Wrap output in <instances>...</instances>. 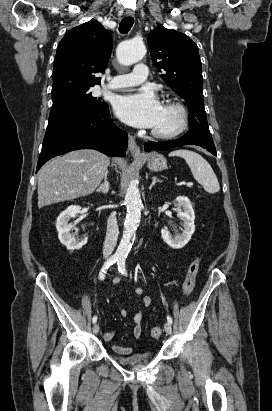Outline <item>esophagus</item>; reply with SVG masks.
<instances>
[{"mask_svg":"<svg viewBox=\"0 0 272 411\" xmlns=\"http://www.w3.org/2000/svg\"><path fill=\"white\" fill-rule=\"evenodd\" d=\"M125 14H126V16H133L134 15V10L127 9ZM128 148H129V151L131 152V154L134 157L142 156L141 151H140V147L136 143L135 138L131 135H129Z\"/></svg>","mask_w":272,"mask_h":411,"instance_id":"1","label":"esophagus"}]
</instances>
